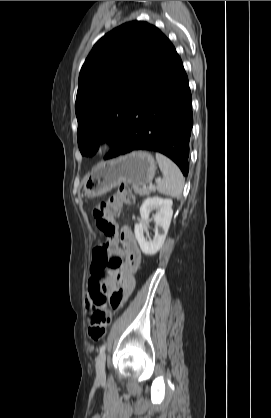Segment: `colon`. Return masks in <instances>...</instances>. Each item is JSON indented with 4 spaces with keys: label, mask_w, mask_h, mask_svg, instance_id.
<instances>
[{
    "label": "colon",
    "mask_w": 271,
    "mask_h": 418,
    "mask_svg": "<svg viewBox=\"0 0 271 418\" xmlns=\"http://www.w3.org/2000/svg\"><path fill=\"white\" fill-rule=\"evenodd\" d=\"M133 200L131 191L127 187L121 186L110 198L100 202L93 209L96 225L109 241H112L116 235L115 216L120 213L124 205L132 204ZM108 249L109 245L107 243L95 248L93 251L91 273L95 282L94 301L88 309L87 315L89 323L88 334L94 341H99L103 338L110 323V316L105 310L106 297L102 290L101 281L105 276L117 271L121 266L119 257L108 256ZM114 303L117 305L119 299L117 298Z\"/></svg>",
    "instance_id": "5ec220e1"
}]
</instances>
